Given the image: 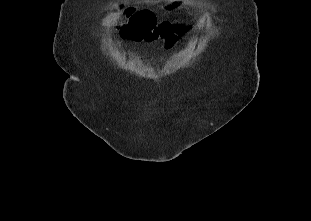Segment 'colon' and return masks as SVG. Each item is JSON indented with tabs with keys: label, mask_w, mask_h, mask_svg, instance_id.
<instances>
[{
	"label": "colon",
	"mask_w": 311,
	"mask_h": 221,
	"mask_svg": "<svg viewBox=\"0 0 311 221\" xmlns=\"http://www.w3.org/2000/svg\"><path fill=\"white\" fill-rule=\"evenodd\" d=\"M122 17H129V10L123 6ZM130 18L133 22L130 25H120L122 39H135L139 42L155 43L160 40L168 48L174 46L179 34H183L189 26L180 22L162 21L157 23L154 14L147 8H140L131 11ZM134 21H141L135 23Z\"/></svg>",
	"instance_id": "colon-1"
}]
</instances>
